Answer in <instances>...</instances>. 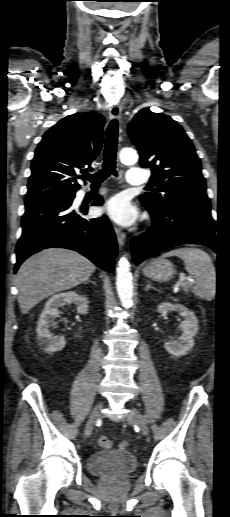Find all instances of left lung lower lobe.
<instances>
[{"instance_id":"obj_1","label":"left lung lower lobe","mask_w":230,"mask_h":517,"mask_svg":"<svg viewBox=\"0 0 230 517\" xmlns=\"http://www.w3.org/2000/svg\"><path fill=\"white\" fill-rule=\"evenodd\" d=\"M147 210L152 214V226L131 243L135 264L182 244L204 245L219 254L210 202H186L167 210Z\"/></svg>"}]
</instances>
